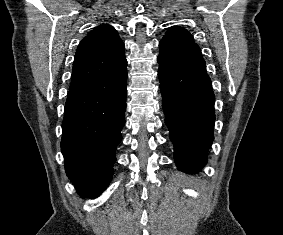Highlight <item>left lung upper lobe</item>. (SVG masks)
I'll return each instance as SVG.
<instances>
[{
	"mask_svg": "<svg viewBox=\"0 0 283 235\" xmlns=\"http://www.w3.org/2000/svg\"><path fill=\"white\" fill-rule=\"evenodd\" d=\"M158 63L206 73L205 61L192 35L184 28H169L159 43Z\"/></svg>",
	"mask_w": 283,
	"mask_h": 235,
	"instance_id": "obj_1",
	"label": "left lung upper lobe"
}]
</instances>
